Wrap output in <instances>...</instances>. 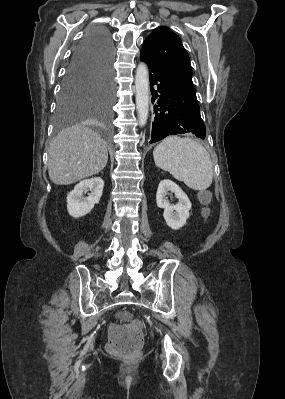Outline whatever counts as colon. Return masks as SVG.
Listing matches in <instances>:
<instances>
[{
  "instance_id": "5ec220e1",
  "label": "colon",
  "mask_w": 285,
  "mask_h": 399,
  "mask_svg": "<svg viewBox=\"0 0 285 399\" xmlns=\"http://www.w3.org/2000/svg\"><path fill=\"white\" fill-rule=\"evenodd\" d=\"M143 338L141 323L137 320H129L111 328L107 348L116 355L132 356L141 348Z\"/></svg>"
}]
</instances>
